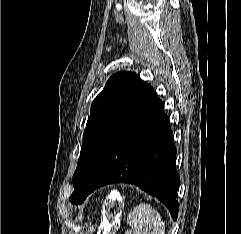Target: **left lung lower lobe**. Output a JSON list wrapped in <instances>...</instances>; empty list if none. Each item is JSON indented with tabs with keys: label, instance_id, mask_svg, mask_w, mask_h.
Here are the masks:
<instances>
[{
	"label": "left lung lower lobe",
	"instance_id": "0a47b994",
	"mask_svg": "<svg viewBox=\"0 0 241 234\" xmlns=\"http://www.w3.org/2000/svg\"><path fill=\"white\" fill-rule=\"evenodd\" d=\"M176 148L162 101L149 87L111 143L87 192L110 183H131L157 197L178 217Z\"/></svg>",
	"mask_w": 241,
	"mask_h": 234
}]
</instances>
